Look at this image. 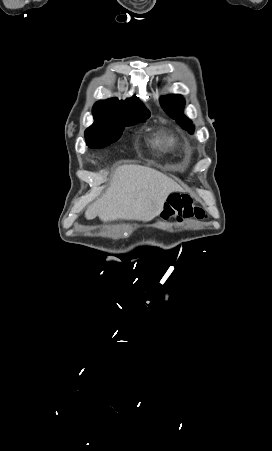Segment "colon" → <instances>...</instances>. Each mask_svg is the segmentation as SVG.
Listing matches in <instances>:
<instances>
[{
    "mask_svg": "<svg viewBox=\"0 0 272 451\" xmlns=\"http://www.w3.org/2000/svg\"><path fill=\"white\" fill-rule=\"evenodd\" d=\"M162 216L164 218L174 216L179 221L191 218L202 220L207 217V213L192 197L174 193L164 205Z\"/></svg>",
    "mask_w": 272,
    "mask_h": 451,
    "instance_id": "5ec220e1",
    "label": "colon"
}]
</instances>
